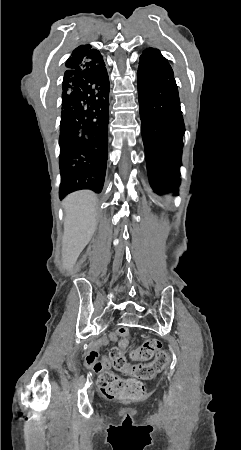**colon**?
Here are the masks:
<instances>
[{
	"instance_id": "colon-1",
	"label": "colon",
	"mask_w": 241,
	"mask_h": 450,
	"mask_svg": "<svg viewBox=\"0 0 241 450\" xmlns=\"http://www.w3.org/2000/svg\"><path fill=\"white\" fill-rule=\"evenodd\" d=\"M161 349L158 339H147L140 347L133 349L132 357L137 360L149 361L153 353ZM166 352L157 353L155 359L139 366L126 364L125 357L118 349H112L110 353L111 366L118 371H124L142 379H154L166 366L168 361ZM98 377L97 384L102 397L111 401H142L146 398V390L143 384L133 379H124L103 371Z\"/></svg>"
}]
</instances>
